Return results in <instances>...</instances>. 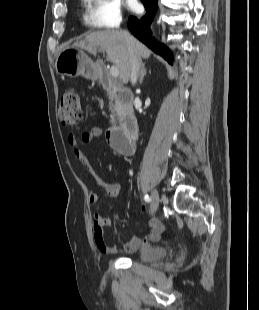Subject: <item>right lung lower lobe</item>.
<instances>
[{"instance_id": "right-lung-lower-lobe-1", "label": "right lung lower lobe", "mask_w": 259, "mask_h": 310, "mask_svg": "<svg viewBox=\"0 0 259 310\" xmlns=\"http://www.w3.org/2000/svg\"><path fill=\"white\" fill-rule=\"evenodd\" d=\"M145 6L146 14L142 18L130 17L128 20V28L133 35L148 46L152 51L164 57L168 62L172 63L173 58L169 49L165 45L153 41L151 38L150 24L158 9V0H141Z\"/></svg>"}]
</instances>
